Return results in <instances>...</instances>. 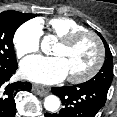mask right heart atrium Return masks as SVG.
I'll return each mask as SVG.
<instances>
[{
  "instance_id": "obj_1",
  "label": "right heart atrium",
  "mask_w": 117,
  "mask_h": 117,
  "mask_svg": "<svg viewBox=\"0 0 117 117\" xmlns=\"http://www.w3.org/2000/svg\"><path fill=\"white\" fill-rule=\"evenodd\" d=\"M42 27L39 21L30 20L22 24L14 35V46L19 57L35 53L40 48Z\"/></svg>"
}]
</instances>
